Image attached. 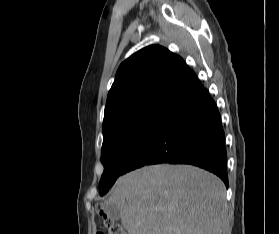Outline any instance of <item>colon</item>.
<instances>
[{
    "instance_id": "5ec220e1",
    "label": "colon",
    "mask_w": 279,
    "mask_h": 234,
    "mask_svg": "<svg viewBox=\"0 0 279 234\" xmlns=\"http://www.w3.org/2000/svg\"><path fill=\"white\" fill-rule=\"evenodd\" d=\"M102 215L104 228L103 231L99 232L98 234H126L119 223L107 218L104 214Z\"/></svg>"
}]
</instances>
